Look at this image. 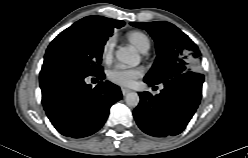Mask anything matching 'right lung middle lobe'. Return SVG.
<instances>
[{"instance_id":"dd1d6c3e","label":"right lung middle lobe","mask_w":248,"mask_h":158,"mask_svg":"<svg viewBox=\"0 0 248 158\" xmlns=\"http://www.w3.org/2000/svg\"><path fill=\"white\" fill-rule=\"evenodd\" d=\"M107 38L79 20L50 43L42 70H70L86 75L101 72L102 52Z\"/></svg>"}]
</instances>
